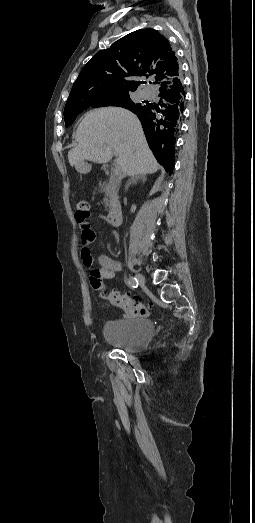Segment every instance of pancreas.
Instances as JSON below:
<instances>
[{"label":"pancreas","instance_id":"obj_1","mask_svg":"<svg viewBox=\"0 0 255 523\" xmlns=\"http://www.w3.org/2000/svg\"><path fill=\"white\" fill-rule=\"evenodd\" d=\"M118 182L119 180L117 176H113V174H111L108 184L107 182H103L102 184V190L106 194V198H104L103 202H105L106 210H108V212H110L114 200H117Z\"/></svg>","mask_w":255,"mask_h":523}]
</instances>
